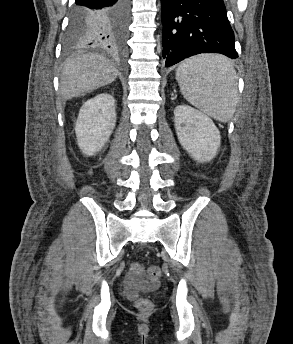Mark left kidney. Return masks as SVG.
Masks as SVG:
<instances>
[{
	"mask_svg": "<svg viewBox=\"0 0 293 344\" xmlns=\"http://www.w3.org/2000/svg\"><path fill=\"white\" fill-rule=\"evenodd\" d=\"M174 123L180 144L197 162H209L220 147V132L204 113L188 105L174 109Z\"/></svg>",
	"mask_w": 293,
	"mask_h": 344,
	"instance_id": "left-kidney-1",
	"label": "left kidney"
}]
</instances>
